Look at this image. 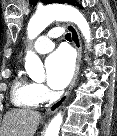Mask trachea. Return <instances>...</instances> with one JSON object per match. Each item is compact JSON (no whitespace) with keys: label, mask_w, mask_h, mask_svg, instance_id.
<instances>
[{"label":"trachea","mask_w":117,"mask_h":136,"mask_svg":"<svg viewBox=\"0 0 117 136\" xmlns=\"http://www.w3.org/2000/svg\"><path fill=\"white\" fill-rule=\"evenodd\" d=\"M65 38H66L67 40H71V34H70V33H67V34L65 35Z\"/></svg>","instance_id":"1"}]
</instances>
